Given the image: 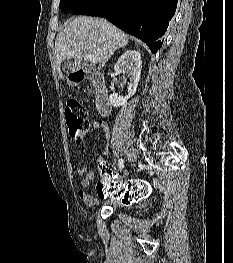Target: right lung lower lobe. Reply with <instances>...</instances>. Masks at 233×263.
Wrapping results in <instances>:
<instances>
[{"instance_id": "98d812e1", "label": "right lung lower lobe", "mask_w": 233, "mask_h": 263, "mask_svg": "<svg viewBox=\"0 0 233 263\" xmlns=\"http://www.w3.org/2000/svg\"><path fill=\"white\" fill-rule=\"evenodd\" d=\"M178 0H100L86 15L106 17L124 32L147 44L152 53L173 17Z\"/></svg>"}]
</instances>
